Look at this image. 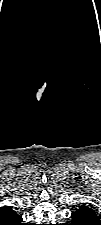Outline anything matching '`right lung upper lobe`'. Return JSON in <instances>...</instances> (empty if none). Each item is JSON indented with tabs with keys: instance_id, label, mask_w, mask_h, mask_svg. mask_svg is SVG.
I'll return each instance as SVG.
<instances>
[{
	"instance_id": "right-lung-upper-lobe-1",
	"label": "right lung upper lobe",
	"mask_w": 101,
	"mask_h": 225,
	"mask_svg": "<svg viewBox=\"0 0 101 225\" xmlns=\"http://www.w3.org/2000/svg\"><path fill=\"white\" fill-rule=\"evenodd\" d=\"M19 219L20 216L8 206L1 210L0 225H15Z\"/></svg>"
}]
</instances>
